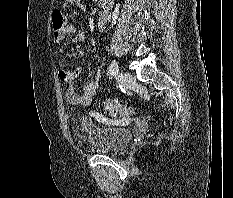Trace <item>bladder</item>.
<instances>
[{
    "label": "bladder",
    "mask_w": 233,
    "mask_h": 198,
    "mask_svg": "<svg viewBox=\"0 0 233 198\" xmlns=\"http://www.w3.org/2000/svg\"><path fill=\"white\" fill-rule=\"evenodd\" d=\"M132 139L126 127H102L92 122H83L78 141L88 148L105 154H116L124 150Z\"/></svg>",
    "instance_id": "obj_1"
}]
</instances>
